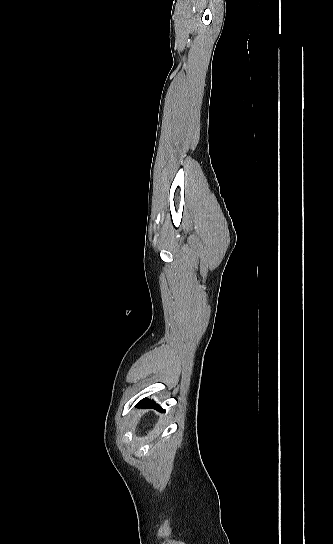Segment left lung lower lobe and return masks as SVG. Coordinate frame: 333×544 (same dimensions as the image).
Listing matches in <instances>:
<instances>
[{"label":"left lung lower lobe","mask_w":333,"mask_h":544,"mask_svg":"<svg viewBox=\"0 0 333 544\" xmlns=\"http://www.w3.org/2000/svg\"><path fill=\"white\" fill-rule=\"evenodd\" d=\"M137 407H145V408H155L161 412H164L163 409H161V407L159 405H157L154 401H151L147 398L141 400L137 405Z\"/></svg>","instance_id":"0a47b994"}]
</instances>
